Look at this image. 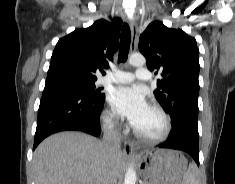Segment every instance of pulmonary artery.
I'll return each instance as SVG.
<instances>
[{"mask_svg": "<svg viewBox=\"0 0 235 184\" xmlns=\"http://www.w3.org/2000/svg\"><path fill=\"white\" fill-rule=\"evenodd\" d=\"M150 69H139L135 73L125 71L109 72L105 75L101 84H129L135 79H148L150 77Z\"/></svg>", "mask_w": 235, "mask_h": 184, "instance_id": "pulmonary-artery-1", "label": "pulmonary artery"}]
</instances>
